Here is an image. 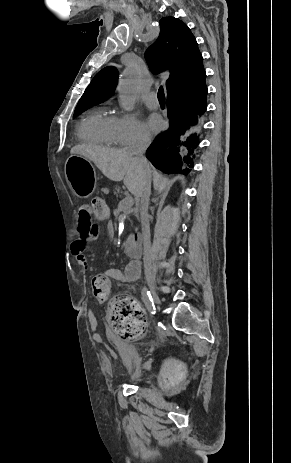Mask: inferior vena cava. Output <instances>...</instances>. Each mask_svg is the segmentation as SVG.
<instances>
[{"instance_id":"inferior-vena-cava-1","label":"inferior vena cava","mask_w":291,"mask_h":463,"mask_svg":"<svg viewBox=\"0 0 291 463\" xmlns=\"http://www.w3.org/2000/svg\"><path fill=\"white\" fill-rule=\"evenodd\" d=\"M151 143V138L147 133H140L137 141L129 146L126 150L137 161L145 168L146 178L144 182V188L140 195V215H141V227H142V240L144 247V259L147 260L151 255V242H150V227H149V198L151 194V174L150 167L147 159L144 157V153Z\"/></svg>"}]
</instances>
